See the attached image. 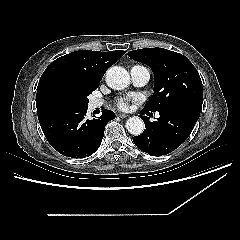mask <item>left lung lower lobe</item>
<instances>
[{
  "instance_id": "obj_1",
  "label": "left lung lower lobe",
  "mask_w": 240,
  "mask_h": 240,
  "mask_svg": "<svg viewBox=\"0 0 240 240\" xmlns=\"http://www.w3.org/2000/svg\"><path fill=\"white\" fill-rule=\"evenodd\" d=\"M202 99H192L174 104L162 111L157 121L142 117L145 130L134 136L135 145L151 156L165 155L180 146L192 132L201 112ZM144 110L141 111L143 114Z\"/></svg>"
}]
</instances>
